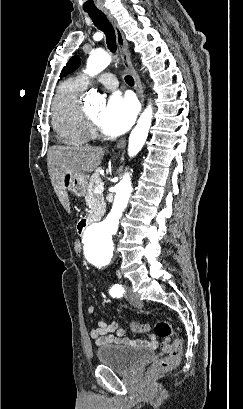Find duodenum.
Masks as SVG:
<instances>
[{
    "instance_id": "410a0bca",
    "label": "duodenum",
    "mask_w": 243,
    "mask_h": 409,
    "mask_svg": "<svg viewBox=\"0 0 243 409\" xmlns=\"http://www.w3.org/2000/svg\"><path fill=\"white\" fill-rule=\"evenodd\" d=\"M90 224V220L89 219H83L79 222L78 224V229L80 232H83L87 226Z\"/></svg>"
}]
</instances>
